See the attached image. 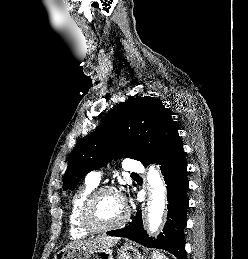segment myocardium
<instances>
[{"label": "myocardium", "instance_id": "f54148a6", "mask_svg": "<svg viewBox=\"0 0 248 259\" xmlns=\"http://www.w3.org/2000/svg\"><path fill=\"white\" fill-rule=\"evenodd\" d=\"M116 193L120 195V192L112 186H102L95 188L83 201L79 212V220L81 225L91 233L105 232L120 228L126 224L130 217V211L127 205H125V213L123 217L111 224H100L94 215V208L98 198L104 193ZM121 196V195H120Z\"/></svg>", "mask_w": 248, "mask_h": 259}]
</instances>
